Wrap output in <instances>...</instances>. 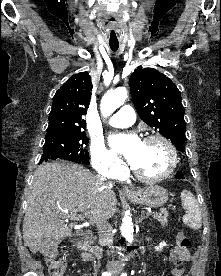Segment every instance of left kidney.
Instances as JSON below:
<instances>
[{
  "instance_id": "left-kidney-1",
  "label": "left kidney",
  "mask_w": 221,
  "mask_h": 276,
  "mask_svg": "<svg viewBox=\"0 0 221 276\" xmlns=\"http://www.w3.org/2000/svg\"><path fill=\"white\" fill-rule=\"evenodd\" d=\"M166 245H167V244H166L165 242H161V243L159 244V246L156 247L155 249H156V251L160 252V251L163 250V247L166 246Z\"/></svg>"
}]
</instances>
